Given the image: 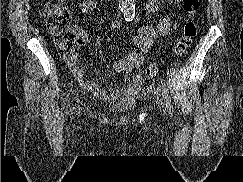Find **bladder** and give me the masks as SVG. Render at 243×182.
I'll list each match as a JSON object with an SVG mask.
<instances>
[{
  "instance_id": "1",
  "label": "bladder",
  "mask_w": 243,
  "mask_h": 182,
  "mask_svg": "<svg viewBox=\"0 0 243 182\" xmlns=\"http://www.w3.org/2000/svg\"><path fill=\"white\" fill-rule=\"evenodd\" d=\"M136 107V99L129 97L108 105L107 110L112 113L124 114L133 112L136 109Z\"/></svg>"
}]
</instances>
